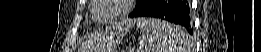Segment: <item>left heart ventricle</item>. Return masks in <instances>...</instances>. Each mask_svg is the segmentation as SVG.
<instances>
[{
	"label": "left heart ventricle",
	"instance_id": "left-heart-ventricle-1",
	"mask_svg": "<svg viewBox=\"0 0 261 52\" xmlns=\"http://www.w3.org/2000/svg\"><path fill=\"white\" fill-rule=\"evenodd\" d=\"M107 3L97 11V17L101 20L113 18L120 10V5L116 0H106Z\"/></svg>",
	"mask_w": 261,
	"mask_h": 52
}]
</instances>
